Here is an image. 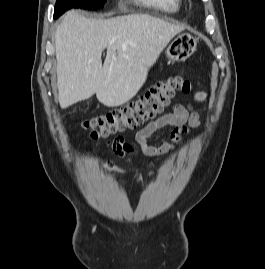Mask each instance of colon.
<instances>
[{
  "instance_id": "colon-1",
  "label": "colon",
  "mask_w": 265,
  "mask_h": 269,
  "mask_svg": "<svg viewBox=\"0 0 265 269\" xmlns=\"http://www.w3.org/2000/svg\"><path fill=\"white\" fill-rule=\"evenodd\" d=\"M192 83L175 75L152 86L139 100L84 123L93 140L107 138L116 132L136 128L160 114L178 92L189 93Z\"/></svg>"
}]
</instances>
